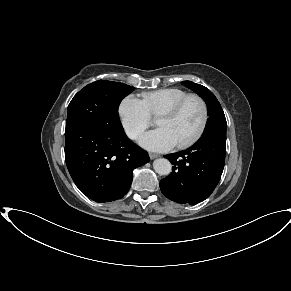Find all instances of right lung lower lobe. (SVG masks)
Masks as SVG:
<instances>
[{
  "instance_id": "obj_1",
  "label": "right lung lower lobe",
  "mask_w": 291,
  "mask_h": 291,
  "mask_svg": "<svg viewBox=\"0 0 291 291\" xmlns=\"http://www.w3.org/2000/svg\"><path fill=\"white\" fill-rule=\"evenodd\" d=\"M65 160L69 173L87 197L111 202L123 197L132 183V172L150 158L130 141L121 123L92 128L66 123Z\"/></svg>"
}]
</instances>
